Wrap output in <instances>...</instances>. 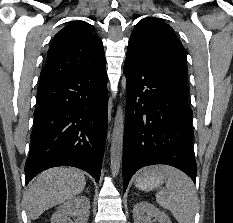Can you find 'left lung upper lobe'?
Wrapping results in <instances>:
<instances>
[{"label": "left lung upper lobe", "mask_w": 233, "mask_h": 223, "mask_svg": "<svg viewBox=\"0 0 233 223\" xmlns=\"http://www.w3.org/2000/svg\"><path fill=\"white\" fill-rule=\"evenodd\" d=\"M128 50L156 70L186 83L187 52L174 30L156 18H144L135 27Z\"/></svg>", "instance_id": "1"}]
</instances>
